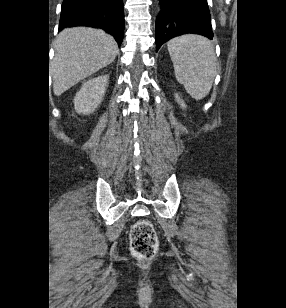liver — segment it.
<instances>
[{"label":"liver","mask_w":286,"mask_h":308,"mask_svg":"<svg viewBox=\"0 0 286 308\" xmlns=\"http://www.w3.org/2000/svg\"><path fill=\"white\" fill-rule=\"evenodd\" d=\"M54 49L51 75L56 96L112 63L118 53L111 35L84 27L61 31Z\"/></svg>","instance_id":"6515ba94"}]
</instances>
